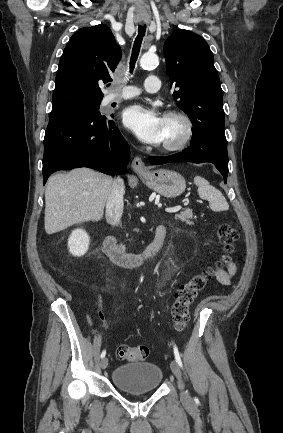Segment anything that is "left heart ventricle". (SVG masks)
Listing matches in <instances>:
<instances>
[{"label":"left heart ventricle","instance_id":"left-heart-ventricle-1","mask_svg":"<svg viewBox=\"0 0 283 433\" xmlns=\"http://www.w3.org/2000/svg\"><path fill=\"white\" fill-rule=\"evenodd\" d=\"M163 122H164V131H165L164 143L177 142L184 133L183 122L178 118H167V117H164ZM164 143L161 149L165 147Z\"/></svg>","mask_w":283,"mask_h":433}]
</instances>
